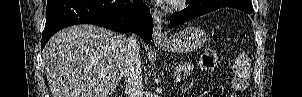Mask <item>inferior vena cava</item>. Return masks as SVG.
Listing matches in <instances>:
<instances>
[{"label":"inferior vena cava","instance_id":"602c4592","mask_svg":"<svg viewBox=\"0 0 302 97\" xmlns=\"http://www.w3.org/2000/svg\"><path fill=\"white\" fill-rule=\"evenodd\" d=\"M125 63L123 74L126 82L125 93L128 97H143L141 60L139 42L135 34L124 36Z\"/></svg>","mask_w":302,"mask_h":97}]
</instances>
